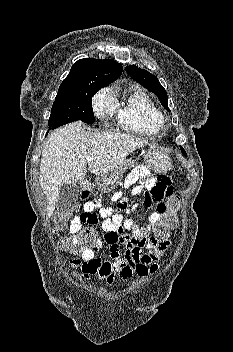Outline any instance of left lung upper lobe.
<instances>
[{"instance_id": "left-lung-upper-lobe-1", "label": "left lung upper lobe", "mask_w": 233, "mask_h": 352, "mask_svg": "<svg viewBox=\"0 0 233 352\" xmlns=\"http://www.w3.org/2000/svg\"><path fill=\"white\" fill-rule=\"evenodd\" d=\"M125 71L139 84H141L146 89L150 90L156 94L164 106L165 109L170 111L168 108V98L166 90L161 86L158 78L145 69L138 68L135 65H129L125 68ZM182 153H186L183 147H180Z\"/></svg>"}]
</instances>
